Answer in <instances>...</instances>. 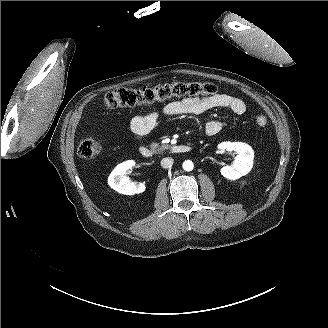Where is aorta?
Masks as SVG:
<instances>
[{
	"label": "aorta",
	"mask_w": 328,
	"mask_h": 328,
	"mask_svg": "<svg viewBox=\"0 0 328 328\" xmlns=\"http://www.w3.org/2000/svg\"><path fill=\"white\" fill-rule=\"evenodd\" d=\"M193 162L191 160H186L183 162V169L185 171H192L193 170Z\"/></svg>",
	"instance_id": "obj_1"
}]
</instances>
